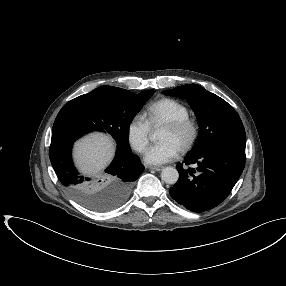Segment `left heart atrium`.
Returning <instances> with one entry per match:
<instances>
[{
	"label": "left heart atrium",
	"mask_w": 286,
	"mask_h": 286,
	"mask_svg": "<svg viewBox=\"0 0 286 286\" xmlns=\"http://www.w3.org/2000/svg\"><path fill=\"white\" fill-rule=\"evenodd\" d=\"M179 151L180 147L172 140H162L146 151L144 159L149 164H163L176 158Z\"/></svg>",
	"instance_id": "left-heart-atrium-1"
}]
</instances>
